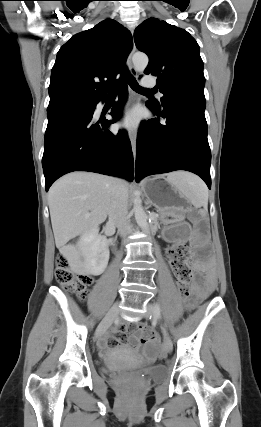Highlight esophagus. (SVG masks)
Masks as SVG:
<instances>
[{"instance_id": "34e87169", "label": "esophagus", "mask_w": 261, "mask_h": 427, "mask_svg": "<svg viewBox=\"0 0 261 427\" xmlns=\"http://www.w3.org/2000/svg\"><path fill=\"white\" fill-rule=\"evenodd\" d=\"M131 32L133 34V29H131ZM135 50H136V47H135V44L133 43V48H132V50H131L128 58H127V66L130 70V73L133 76L137 75V70L135 69V67L133 65V60H132L133 55L135 53ZM130 141H131V148H132V153H133V158H134V163H135V161H136V136H135V134L130 135Z\"/></svg>"}]
</instances>
